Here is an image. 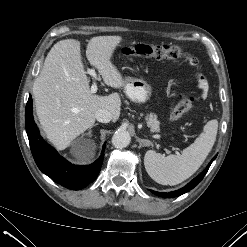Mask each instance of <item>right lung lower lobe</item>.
I'll list each match as a JSON object with an SVG mask.
<instances>
[{
  "instance_id": "right-lung-lower-lobe-1",
  "label": "right lung lower lobe",
  "mask_w": 247,
  "mask_h": 247,
  "mask_svg": "<svg viewBox=\"0 0 247 247\" xmlns=\"http://www.w3.org/2000/svg\"><path fill=\"white\" fill-rule=\"evenodd\" d=\"M25 126L33 158L39 169L53 181L71 190H80L93 182L101 169L105 145L101 156L91 165L76 166L59 156L55 149L40 136L33 120V102L29 96L25 110Z\"/></svg>"
}]
</instances>
